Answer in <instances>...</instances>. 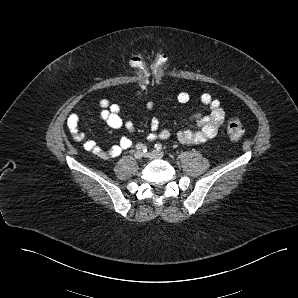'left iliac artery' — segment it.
<instances>
[{
	"label": "left iliac artery",
	"mask_w": 298,
	"mask_h": 298,
	"mask_svg": "<svg viewBox=\"0 0 298 298\" xmlns=\"http://www.w3.org/2000/svg\"><path fill=\"white\" fill-rule=\"evenodd\" d=\"M155 148L157 150H161L162 149V144H160V143L155 144Z\"/></svg>",
	"instance_id": "1"
}]
</instances>
